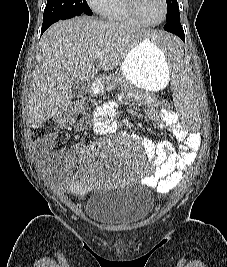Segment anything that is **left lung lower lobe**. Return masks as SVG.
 <instances>
[{
  "label": "left lung lower lobe",
  "instance_id": "0a47b994",
  "mask_svg": "<svg viewBox=\"0 0 227 267\" xmlns=\"http://www.w3.org/2000/svg\"><path fill=\"white\" fill-rule=\"evenodd\" d=\"M164 30L179 36L183 41H185L184 31L180 23V14L167 20Z\"/></svg>",
  "mask_w": 227,
  "mask_h": 267
}]
</instances>
